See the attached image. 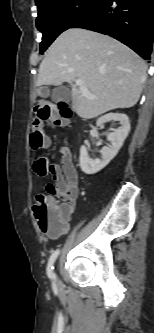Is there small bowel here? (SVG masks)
<instances>
[{"instance_id": "obj_1", "label": "small bowel", "mask_w": 154, "mask_h": 333, "mask_svg": "<svg viewBox=\"0 0 154 333\" xmlns=\"http://www.w3.org/2000/svg\"><path fill=\"white\" fill-rule=\"evenodd\" d=\"M61 165L51 164L49 173L53 184H48V193L63 200L62 205L67 210L68 217L73 213L79 195L78 172L73 162V154L69 147L63 146L60 149ZM68 225L59 233H65ZM58 235V234H57Z\"/></svg>"}]
</instances>
